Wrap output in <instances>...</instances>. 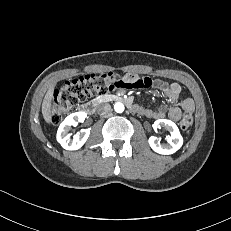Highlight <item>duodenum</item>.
Wrapping results in <instances>:
<instances>
[{
    "label": "duodenum",
    "mask_w": 231,
    "mask_h": 231,
    "mask_svg": "<svg viewBox=\"0 0 231 231\" xmlns=\"http://www.w3.org/2000/svg\"><path fill=\"white\" fill-rule=\"evenodd\" d=\"M106 100H112V101H118V102H123L125 103L131 110L133 111H138L139 107L137 105L134 104L133 100L130 97L124 96V95H120V94H114V95H108L105 96L103 98H101L98 101L92 102V103H88L83 105L80 110L82 112H85L89 115L93 114L96 110V107L98 105L99 102L102 101H106Z\"/></svg>",
    "instance_id": "duodenum-1"
}]
</instances>
